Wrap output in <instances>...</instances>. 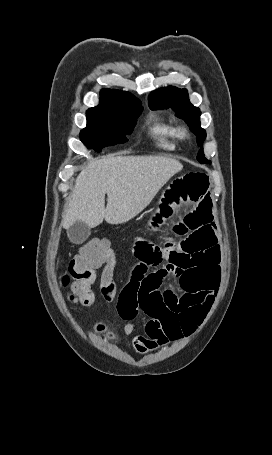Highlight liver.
I'll list each match as a JSON object with an SVG mask.
<instances>
[{
    "mask_svg": "<svg viewBox=\"0 0 272 455\" xmlns=\"http://www.w3.org/2000/svg\"><path fill=\"white\" fill-rule=\"evenodd\" d=\"M182 168L178 160L162 156L95 159L77 176L62 225L69 228L81 221L94 228L104 219L109 224L125 223L143 211Z\"/></svg>",
    "mask_w": 272,
    "mask_h": 455,
    "instance_id": "1",
    "label": "liver"
}]
</instances>
